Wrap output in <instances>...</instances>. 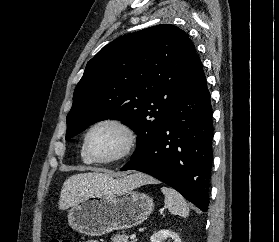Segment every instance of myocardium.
<instances>
[{"label": "myocardium", "instance_id": "f54148a6", "mask_svg": "<svg viewBox=\"0 0 279 242\" xmlns=\"http://www.w3.org/2000/svg\"><path fill=\"white\" fill-rule=\"evenodd\" d=\"M103 125H112L117 128H119L125 135V144L122 150L109 158H103L99 159L94 156L89 151V138L91 134L93 133L94 130H96L98 127L103 126ZM137 145V133L135 129L126 121L119 119V118H114V117H107V118H102L96 122H94L86 131L84 140H83V151L87 158L92 162V163H97V164H112L116 163L119 161H122L129 157L135 150Z\"/></svg>", "mask_w": 279, "mask_h": 242}]
</instances>
